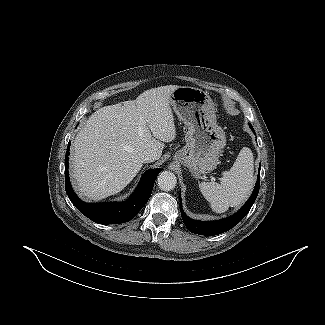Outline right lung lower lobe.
Listing matches in <instances>:
<instances>
[{"label":"right lung lower lobe","mask_w":325,"mask_h":325,"mask_svg":"<svg viewBox=\"0 0 325 325\" xmlns=\"http://www.w3.org/2000/svg\"><path fill=\"white\" fill-rule=\"evenodd\" d=\"M70 143L65 157V190L74 206L87 218L99 224H118L130 221L150 198L157 175L161 169L149 170L143 175L135 194L122 203L88 204L81 201L74 193L68 174V155Z\"/></svg>","instance_id":"obj_1"}]
</instances>
